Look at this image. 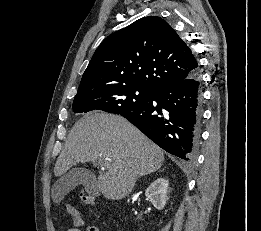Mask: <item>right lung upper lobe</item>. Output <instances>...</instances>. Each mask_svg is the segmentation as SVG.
I'll return each instance as SVG.
<instances>
[{
  "label": "right lung upper lobe",
  "instance_id": "1",
  "mask_svg": "<svg viewBox=\"0 0 261 231\" xmlns=\"http://www.w3.org/2000/svg\"><path fill=\"white\" fill-rule=\"evenodd\" d=\"M196 71L197 60L175 30L162 18L148 16L99 45L76 96L123 86L153 92Z\"/></svg>",
  "mask_w": 261,
  "mask_h": 231
}]
</instances>
